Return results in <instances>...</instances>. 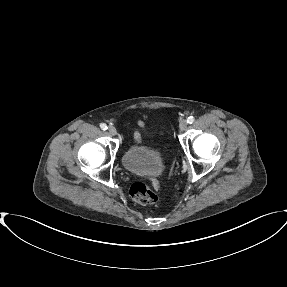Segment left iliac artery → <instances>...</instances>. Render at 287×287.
<instances>
[{
    "mask_svg": "<svg viewBox=\"0 0 287 287\" xmlns=\"http://www.w3.org/2000/svg\"><path fill=\"white\" fill-rule=\"evenodd\" d=\"M195 118L193 116L188 117L187 123L192 124L194 122Z\"/></svg>",
    "mask_w": 287,
    "mask_h": 287,
    "instance_id": "left-iliac-artery-1",
    "label": "left iliac artery"
}]
</instances>
